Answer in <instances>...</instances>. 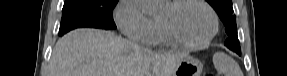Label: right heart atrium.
I'll return each mask as SVG.
<instances>
[{"label":"right heart atrium","mask_w":287,"mask_h":76,"mask_svg":"<svg viewBox=\"0 0 287 76\" xmlns=\"http://www.w3.org/2000/svg\"><path fill=\"white\" fill-rule=\"evenodd\" d=\"M115 22L120 31L128 38L150 43L154 37L153 19L142 10L138 0H121L115 10Z\"/></svg>","instance_id":"d8ad5b80"}]
</instances>
